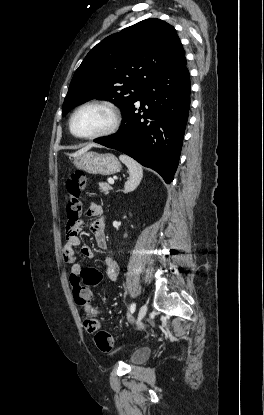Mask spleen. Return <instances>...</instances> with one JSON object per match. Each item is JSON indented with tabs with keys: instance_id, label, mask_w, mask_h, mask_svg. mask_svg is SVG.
I'll use <instances>...</instances> for the list:
<instances>
[{
	"instance_id": "1",
	"label": "spleen",
	"mask_w": 264,
	"mask_h": 415,
	"mask_svg": "<svg viewBox=\"0 0 264 415\" xmlns=\"http://www.w3.org/2000/svg\"><path fill=\"white\" fill-rule=\"evenodd\" d=\"M119 159L128 167L130 175L128 180L125 182L124 190L125 192H131L137 188L142 180V166L127 155L122 154L119 156Z\"/></svg>"
}]
</instances>
